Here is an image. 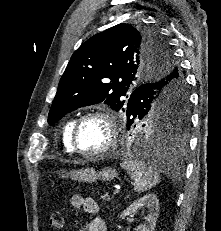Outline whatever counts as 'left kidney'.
I'll list each match as a JSON object with an SVG mask.
<instances>
[{"label": "left kidney", "instance_id": "left-kidney-1", "mask_svg": "<svg viewBox=\"0 0 221 231\" xmlns=\"http://www.w3.org/2000/svg\"><path fill=\"white\" fill-rule=\"evenodd\" d=\"M142 208L147 209L146 221L137 227V231H154L157 218L159 216V200L155 194H147L142 198L135 200L130 206L124 210L120 218L124 219L126 216L136 213Z\"/></svg>", "mask_w": 221, "mask_h": 231}]
</instances>
